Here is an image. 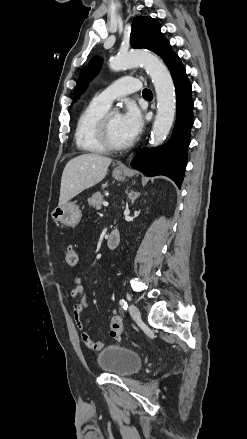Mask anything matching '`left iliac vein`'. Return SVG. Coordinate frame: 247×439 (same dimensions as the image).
<instances>
[{
	"mask_svg": "<svg viewBox=\"0 0 247 439\" xmlns=\"http://www.w3.org/2000/svg\"><path fill=\"white\" fill-rule=\"evenodd\" d=\"M129 312L134 320H139L141 318L140 311L134 304L129 306Z\"/></svg>",
	"mask_w": 247,
	"mask_h": 439,
	"instance_id": "4c4485c4",
	"label": "left iliac vein"
}]
</instances>
